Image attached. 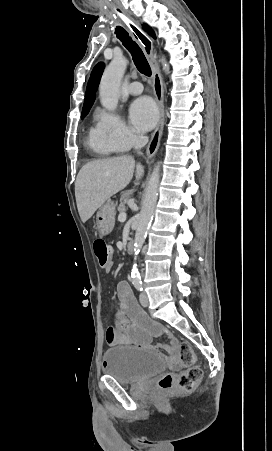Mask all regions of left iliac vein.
<instances>
[{"instance_id":"4c4485c4","label":"left iliac vein","mask_w":272,"mask_h":451,"mask_svg":"<svg viewBox=\"0 0 272 451\" xmlns=\"http://www.w3.org/2000/svg\"><path fill=\"white\" fill-rule=\"evenodd\" d=\"M140 303L142 306L147 307L149 305L148 296L145 292L140 293Z\"/></svg>"}]
</instances>
